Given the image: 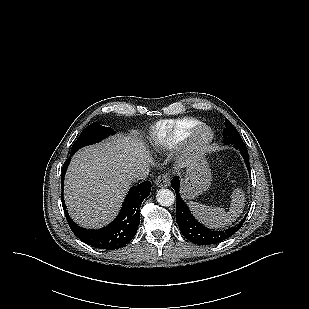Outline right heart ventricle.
Instances as JSON below:
<instances>
[{"label":"right heart ventricle","instance_id":"1","mask_svg":"<svg viewBox=\"0 0 309 309\" xmlns=\"http://www.w3.org/2000/svg\"><path fill=\"white\" fill-rule=\"evenodd\" d=\"M199 124L200 121L194 118L160 121L152 127L149 141L153 148L172 149L188 139L191 131Z\"/></svg>","mask_w":309,"mask_h":309}]
</instances>
